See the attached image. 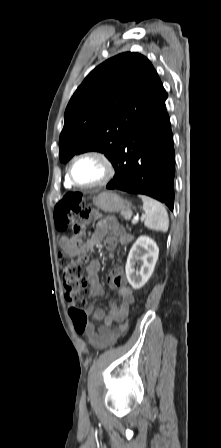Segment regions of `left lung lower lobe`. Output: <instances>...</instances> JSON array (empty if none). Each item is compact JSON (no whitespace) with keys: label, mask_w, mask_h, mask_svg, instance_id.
Returning <instances> with one entry per match:
<instances>
[{"label":"left lung lower lobe","mask_w":221,"mask_h":448,"mask_svg":"<svg viewBox=\"0 0 221 448\" xmlns=\"http://www.w3.org/2000/svg\"><path fill=\"white\" fill-rule=\"evenodd\" d=\"M164 92L141 114L121 141L112 161L108 189L144 194L174 206L175 153Z\"/></svg>","instance_id":"0a47b994"}]
</instances>
